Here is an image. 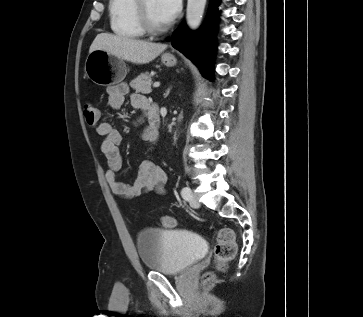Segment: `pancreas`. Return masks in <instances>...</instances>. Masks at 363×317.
<instances>
[{"instance_id": "obj_1", "label": "pancreas", "mask_w": 363, "mask_h": 317, "mask_svg": "<svg viewBox=\"0 0 363 317\" xmlns=\"http://www.w3.org/2000/svg\"><path fill=\"white\" fill-rule=\"evenodd\" d=\"M152 79L148 73H141L130 82V86L136 91L143 94L151 93Z\"/></svg>"}]
</instances>
